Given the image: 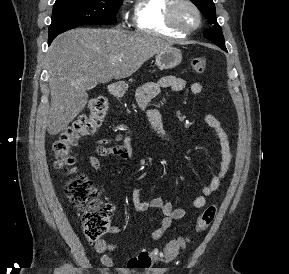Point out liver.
Returning <instances> with one entry per match:
<instances>
[{"instance_id":"6515ba94","label":"liver","mask_w":289,"mask_h":274,"mask_svg":"<svg viewBox=\"0 0 289 274\" xmlns=\"http://www.w3.org/2000/svg\"><path fill=\"white\" fill-rule=\"evenodd\" d=\"M169 48L171 43L158 37L118 29L77 28L56 37L48 50V133L59 134L82 112L91 83L129 77Z\"/></svg>"}]
</instances>
